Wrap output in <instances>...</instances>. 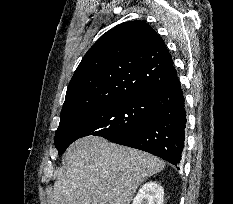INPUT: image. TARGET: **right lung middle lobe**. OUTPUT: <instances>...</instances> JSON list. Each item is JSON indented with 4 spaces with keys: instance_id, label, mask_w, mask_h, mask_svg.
<instances>
[{
    "instance_id": "right-lung-middle-lobe-1",
    "label": "right lung middle lobe",
    "mask_w": 233,
    "mask_h": 204,
    "mask_svg": "<svg viewBox=\"0 0 233 204\" xmlns=\"http://www.w3.org/2000/svg\"><path fill=\"white\" fill-rule=\"evenodd\" d=\"M150 95L113 101L69 120L55 133L59 155L78 138L95 135L108 140L130 132L153 118Z\"/></svg>"
}]
</instances>
